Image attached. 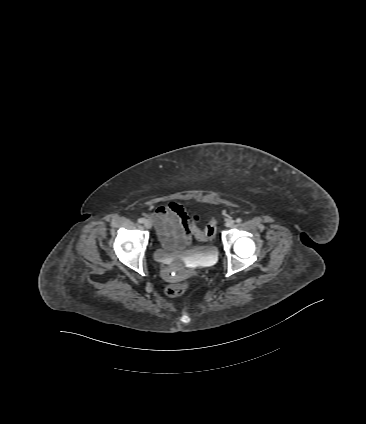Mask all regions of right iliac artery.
Instances as JSON below:
<instances>
[{"label": "right iliac artery", "instance_id": "obj_1", "mask_svg": "<svg viewBox=\"0 0 366 424\" xmlns=\"http://www.w3.org/2000/svg\"><path fill=\"white\" fill-rule=\"evenodd\" d=\"M143 221H144V220H143L142 218H139V219H138V222H139V223H143Z\"/></svg>", "mask_w": 366, "mask_h": 424}]
</instances>
